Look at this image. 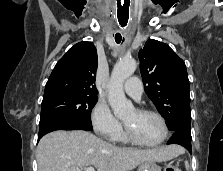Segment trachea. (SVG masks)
Here are the masks:
<instances>
[{"label":"trachea","mask_w":223,"mask_h":171,"mask_svg":"<svg viewBox=\"0 0 223 171\" xmlns=\"http://www.w3.org/2000/svg\"><path fill=\"white\" fill-rule=\"evenodd\" d=\"M121 40H122L121 37L115 36V41H116L117 44H119L121 42ZM123 41H124V39H123Z\"/></svg>","instance_id":"1"}]
</instances>
